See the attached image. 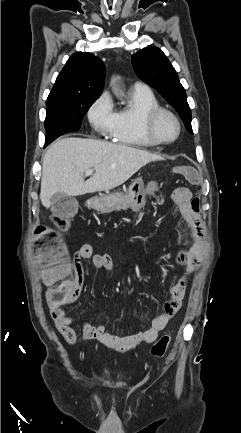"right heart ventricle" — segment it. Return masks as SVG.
Here are the masks:
<instances>
[{"instance_id": "obj_1", "label": "right heart ventricle", "mask_w": 241, "mask_h": 433, "mask_svg": "<svg viewBox=\"0 0 241 433\" xmlns=\"http://www.w3.org/2000/svg\"><path fill=\"white\" fill-rule=\"evenodd\" d=\"M159 106L158 100L150 89H132L128 102L115 111V121L111 132L113 141L137 148L156 146L146 136L143 120L149 110Z\"/></svg>"}]
</instances>
